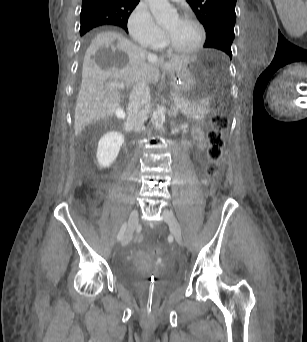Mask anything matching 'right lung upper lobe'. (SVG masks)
Here are the masks:
<instances>
[{
    "label": "right lung upper lobe",
    "instance_id": "right-lung-upper-lobe-1",
    "mask_svg": "<svg viewBox=\"0 0 307 342\" xmlns=\"http://www.w3.org/2000/svg\"><path fill=\"white\" fill-rule=\"evenodd\" d=\"M140 0H83L82 11H100L114 16L110 25L119 26L127 30L130 13Z\"/></svg>",
    "mask_w": 307,
    "mask_h": 342
}]
</instances>
